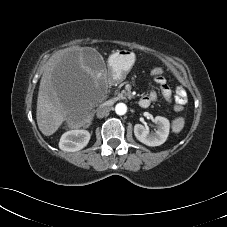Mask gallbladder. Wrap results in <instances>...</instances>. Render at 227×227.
I'll return each mask as SVG.
<instances>
[{"mask_svg": "<svg viewBox=\"0 0 227 227\" xmlns=\"http://www.w3.org/2000/svg\"><path fill=\"white\" fill-rule=\"evenodd\" d=\"M83 61L96 74L103 73L107 69L102 56L93 48H85L83 50Z\"/></svg>", "mask_w": 227, "mask_h": 227, "instance_id": "1", "label": "gallbladder"}]
</instances>
